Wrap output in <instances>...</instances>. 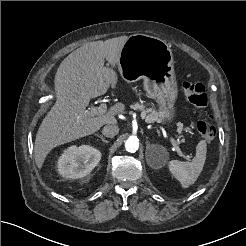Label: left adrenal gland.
<instances>
[{"label": "left adrenal gland", "mask_w": 246, "mask_h": 246, "mask_svg": "<svg viewBox=\"0 0 246 246\" xmlns=\"http://www.w3.org/2000/svg\"><path fill=\"white\" fill-rule=\"evenodd\" d=\"M147 146H150V143L149 142H147ZM153 146H155V145H153Z\"/></svg>", "instance_id": "1"}]
</instances>
